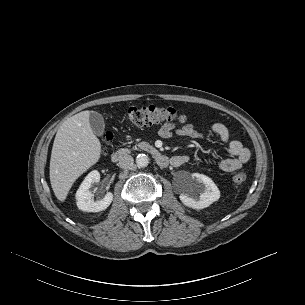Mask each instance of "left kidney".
Returning a JSON list of instances; mask_svg holds the SVG:
<instances>
[{
    "mask_svg": "<svg viewBox=\"0 0 305 305\" xmlns=\"http://www.w3.org/2000/svg\"><path fill=\"white\" fill-rule=\"evenodd\" d=\"M199 184L200 196H193V186ZM187 190L179 196L181 202L193 209H203L210 206L213 202L220 198V191L216 184L206 175L193 173L190 175Z\"/></svg>",
    "mask_w": 305,
    "mask_h": 305,
    "instance_id": "obj_1",
    "label": "left kidney"
}]
</instances>
